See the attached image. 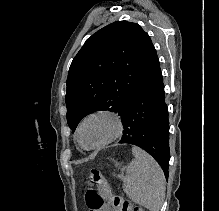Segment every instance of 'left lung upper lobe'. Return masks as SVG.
<instances>
[{
	"instance_id": "left-lung-upper-lobe-1",
	"label": "left lung upper lobe",
	"mask_w": 219,
	"mask_h": 211,
	"mask_svg": "<svg viewBox=\"0 0 219 211\" xmlns=\"http://www.w3.org/2000/svg\"><path fill=\"white\" fill-rule=\"evenodd\" d=\"M158 66L151 39L138 24L117 21L94 33L69 69V127L74 131L83 117L99 110L117 112L122 118L133 94Z\"/></svg>"
}]
</instances>
